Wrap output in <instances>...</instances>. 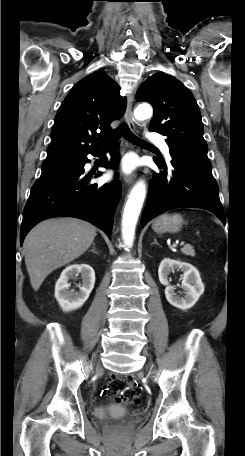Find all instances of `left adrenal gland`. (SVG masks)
Returning a JSON list of instances; mask_svg holds the SVG:
<instances>
[{
  "label": "left adrenal gland",
  "instance_id": "a2214340",
  "mask_svg": "<svg viewBox=\"0 0 245 456\" xmlns=\"http://www.w3.org/2000/svg\"><path fill=\"white\" fill-rule=\"evenodd\" d=\"M151 244H152V245H153V244H156V245H159V246H160V244L157 242V239H156V238H154V241H153Z\"/></svg>",
  "mask_w": 245,
  "mask_h": 456
}]
</instances>
